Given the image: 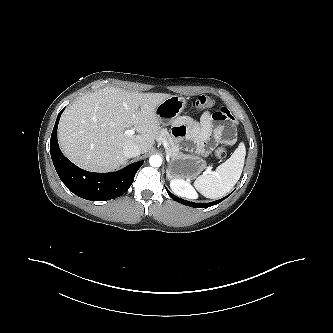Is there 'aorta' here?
I'll return each mask as SVG.
<instances>
[{
	"instance_id": "obj_1",
	"label": "aorta",
	"mask_w": 333,
	"mask_h": 333,
	"mask_svg": "<svg viewBox=\"0 0 333 333\" xmlns=\"http://www.w3.org/2000/svg\"><path fill=\"white\" fill-rule=\"evenodd\" d=\"M149 163L152 167H160L162 164V158L159 155H153L150 157Z\"/></svg>"
}]
</instances>
